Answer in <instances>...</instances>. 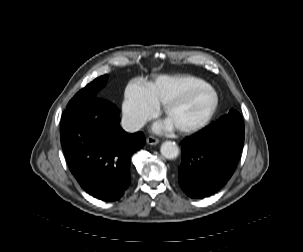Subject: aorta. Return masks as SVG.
<instances>
[{
	"mask_svg": "<svg viewBox=\"0 0 303 252\" xmlns=\"http://www.w3.org/2000/svg\"><path fill=\"white\" fill-rule=\"evenodd\" d=\"M160 152L167 159H175L179 155V147L175 142L165 141L161 145Z\"/></svg>",
	"mask_w": 303,
	"mask_h": 252,
	"instance_id": "762f6f07",
	"label": "aorta"
}]
</instances>
